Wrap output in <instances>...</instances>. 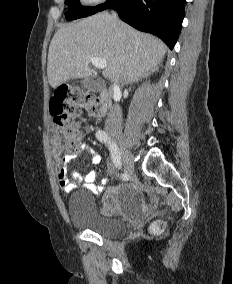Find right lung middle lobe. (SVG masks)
<instances>
[{"instance_id":"right-lung-middle-lobe-1","label":"right lung middle lobe","mask_w":233,"mask_h":284,"mask_svg":"<svg viewBox=\"0 0 233 284\" xmlns=\"http://www.w3.org/2000/svg\"><path fill=\"white\" fill-rule=\"evenodd\" d=\"M65 4L69 6L68 11L65 12V17L67 20H75L95 14L98 8L102 5L101 4L96 7H83L80 5L79 0H65Z\"/></svg>"}]
</instances>
